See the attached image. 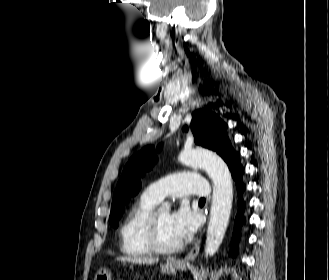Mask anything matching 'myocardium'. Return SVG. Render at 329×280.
<instances>
[{"label": "myocardium", "mask_w": 329, "mask_h": 280, "mask_svg": "<svg viewBox=\"0 0 329 280\" xmlns=\"http://www.w3.org/2000/svg\"><path fill=\"white\" fill-rule=\"evenodd\" d=\"M159 209H153L149 214L144 227V235L147 241L148 246L151 251L160 253V254H172L179 251L182 248V243L179 242L173 246H167L161 243L158 235V219Z\"/></svg>", "instance_id": "1"}]
</instances>
